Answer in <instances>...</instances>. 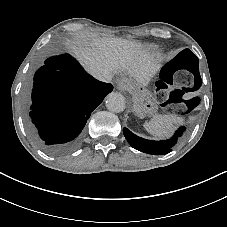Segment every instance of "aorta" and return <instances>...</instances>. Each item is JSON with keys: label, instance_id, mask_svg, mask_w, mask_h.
Instances as JSON below:
<instances>
[{"label": "aorta", "instance_id": "762f6f07", "mask_svg": "<svg viewBox=\"0 0 227 227\" xmlns=\"http://www.w3.org/2000/svg\"><path fill=\"white\" fill-rule=\"evenodd\" d=\"M106 108L115 113L122 112L125 109L126 102L122 94L111 92L106 96Z\"/></svg>", "mask_w": 227, "mask_h": 227}]
</instances>
